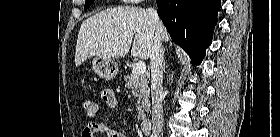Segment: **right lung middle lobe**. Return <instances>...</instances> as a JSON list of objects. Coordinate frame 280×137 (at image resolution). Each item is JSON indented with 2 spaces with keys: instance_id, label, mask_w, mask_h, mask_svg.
<instances>
[{
  "instance_id": "1",
  "label": "right lung middle lobe",
  "mask_w": 280,
  "mask_h": 137,
  "mask_svg": "<svg viewBox=\"0 0 280 137\" xmlns=\"http://www.w3.org/2000/svg\"><path fill=\"white\" fill-rule=\"evenodd\" d=\"M94 2V0H86L85 1V5H84V9H87L88 7H90V5Z\"/></svg>"
}]
</instances>
